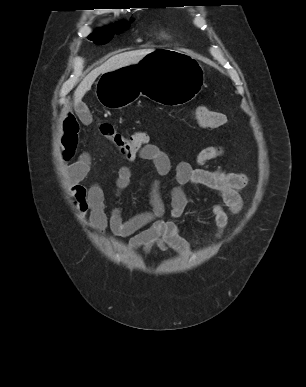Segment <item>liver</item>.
Masks as SVG:
<instances>
[{
	"instance_id": "6515ba94",
	"label": "liver",
	"mask_w": 306,
	"mask_h": 387,
	"mask_svg": "<svg viewBox=\"0 0 306 387\" xmlns=\"http://www.w3.org/2000/svg\"><path fill=\"white\" fill-rule=\"evenodd\" d=\"M153 49H142L136 51H128L124 53H119L106 62H104L99 67L92 70L78 85L74 92V104L78 105L87 91L91 89V86L95 79L100 75L110 71L120 69L129 65L137 64L142 58H144L149 53L153 52Z\"/></svg>"
}]
</instances>
